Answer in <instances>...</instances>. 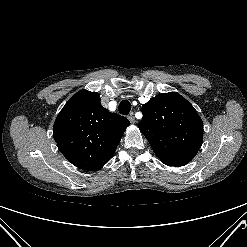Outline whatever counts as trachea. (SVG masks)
<instances>
[{
  "label": "trachea",
  "instance_id": "obj_1",
  "mask_svg": "<svg viewBox=\"0 0 247 247\" xmlns=\"http://www.w3.org/2000/svg\"><path fill=\"white\" fill-rule=\"evenodd\" d=\"M130 110H131V104L128 100H123L120 102V104H119L120 114L127 115V114H129Z\"/></svg>",
  "mask_w": 247,
  "mask_h": 247
}]
</instances>
